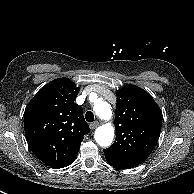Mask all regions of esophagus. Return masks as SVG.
Returning a JSON list of instances; mask_svg holds the SVG:
<instances>
[{
  "label": "esophagus",
  "instance_id": "34e87169",
  "mask_svg": "<svg viewBox=\"0 0 194 194\" xmlns=\"http://www.w3.org/2000/svg\"><path fill=\"white\" fill-rule=\"evenodd\" d=\"M98 126H99V122H98V121H95V122H93V123L90 124V129H91V130H94V129H96Z\"/></svg>",
  "mask_w": 194,
  "mask_h": 194
}]
</instances>
